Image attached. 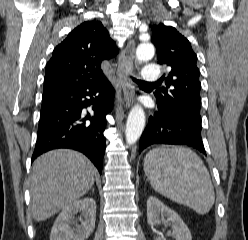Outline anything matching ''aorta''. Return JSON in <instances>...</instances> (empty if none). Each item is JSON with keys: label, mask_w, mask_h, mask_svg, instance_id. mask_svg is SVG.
Instances as JSON below:
<instances>
[{"label": "aorta", "mask_w": 248, "mask_h": 240, "mask_svg": "<svg viewBox=\"0 0 248 240\" xmlns=\"http://www.w3.org/2000/svg\"><path fill=\"white\" fill-rule=\"evenodd\" d=\"M155 53L154 46L150 43H141L136 50V58L139 62L148 61L153 58ZM145 127V113L141 106L135 105L127 119L126 123V142L133 145L140 138Z\"/></svg>", "instance_id": "1"}]
</instances>
